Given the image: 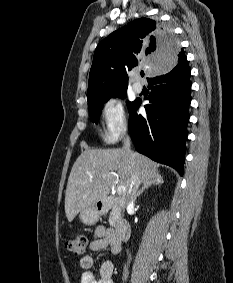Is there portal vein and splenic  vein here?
<instances>
[{"mask_svg": "<svg viewBox=\"0 0 233 283\" xmlns=\"http://www.w3.org/2000/svg\"><path fill=\"white\" fill-rule=\"evenodd\" d=\"M112 174H115V173L112 172ZM125 191H126V188H125L124 185H119V186L117 187V193H118V194H123Z\"/></svg>", "mask_w": 233, "mask_h": 283, "instance_id": "portal-vein-and-splenic-vein-1", "label": "portal vein and splenic vein"}]
</instances>
